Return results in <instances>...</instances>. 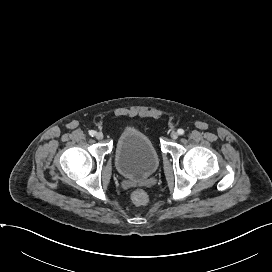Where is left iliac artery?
I'll return each mask as SVG.
<instances>
[{
  "mask_svg": "<svg viewBox=\"0 0 272 272\" xmlns=\"http://www.w3.org/2000/svg\"><path fill=\"white\" fill-rule=\"evenodd\" d=\"M177 132H178L179 135H183L184 134V130L183 129H178Z\"/></svg>",
  "mask_w": 272,
  "mask_h": 272,
  "instance_id": "1",
  "label": "left iliac artery"
}]
</instances>
